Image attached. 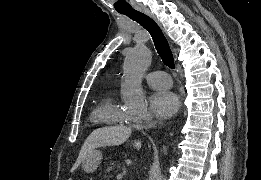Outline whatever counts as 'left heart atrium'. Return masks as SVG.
<instances>
[{"mask_svg": "<svg viewBox=\"0 0 261 180\" xmlns=\"http://www.w3.org/2000/svg\"><path fill=\"white\" fill-rule=\"evenodd\" d=\"M179 105L177 96L169 90L160 89L151 94L148 100L146 117L153 114L157 117H169L177 110Z\"/></svg>", "mask_w": 261, "mask_h": 180, "instance_id": "left-heart-atrium-1", "label": "left heart atrium"}]
</instances>
